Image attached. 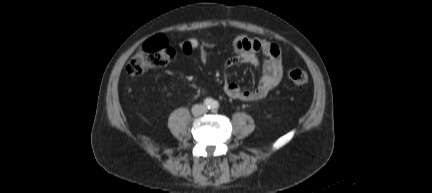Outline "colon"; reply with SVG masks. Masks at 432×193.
<instances>
[{
  "label": "colon",
  "instance_id": "obj_1",
  "mask_svg": "<svg viewBox=\"0 0 432 193\" xmlns=\"http://www.w3.org/2000/svg\"><path fill=\"white\" fill-rule=\"evenodd\" d=\"M175 56L174 49L164 36L158 35L147 40L137 53L128 61L126 71L129 75L138 76L152 69L164 67ZM288 78L297 86H305L309 81L308 74L302 69H291Z\"/></svg>",
  "mask_w": 432,
  "mask_h": 193
}]
</instances>
